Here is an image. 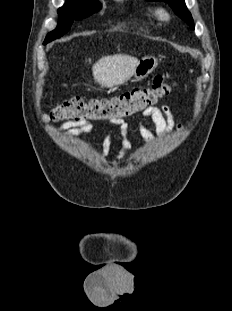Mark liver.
Instances as JSON below:
<instances>
[{
	"label": "liver",
	"mask_w": 232,
	"mask_h": 311,
	"mask_svg": "<svg viewBox=\"0 0 232 311\" xmlns=\"http://www.w3.org/2000/svg\"><path fill=\"white\" fill-rule=\"evenodd\" d=\"M138 59L129 55L106 56L92 67L94 80L101 87L111 88L127 82L134 74Z\"/></svg>",
	"instance_id": "6515ba94"
}]
</instances>
